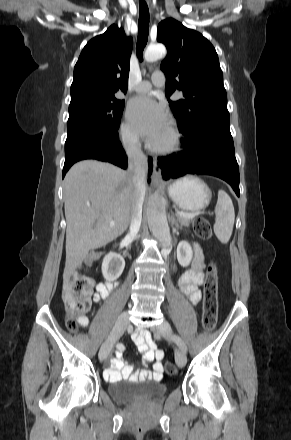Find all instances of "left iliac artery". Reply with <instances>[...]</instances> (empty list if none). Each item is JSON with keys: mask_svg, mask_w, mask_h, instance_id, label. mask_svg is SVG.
Instances as JSON below:
<instances>
[{"mask_svg": "<svg viewBox=\"0 0 291 440\" xmlns=\"http://www.w3.org/2000/svg\"><path fill=\"white\" fill-rule=\"evenodd\" d=\"M172 339L178 344V346L180 347L181 350H183L184 352L187 351V347L184 343V341L177 335H174L172 337Z\"/></svg>", "mask_w": 291, "mask_h": 440, "instance_id": "44dca946", "label": "left iliac artery"}]
</instances>
